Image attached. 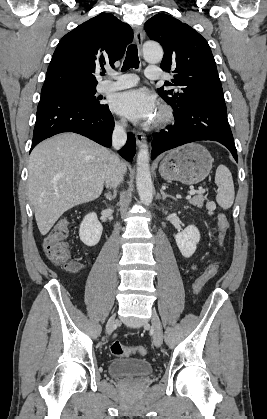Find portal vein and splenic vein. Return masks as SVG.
<instances>
[{
    "mask_svg": "<svg viewBox=\"0 0 267 419\" xmlns=\"http://www.w3.org/2000/svg\"><path fill=\"white\" fill-rule=\"evenodd\" d=\"M205 192V190L203 189V188H199V190H190L189 192H188V194L191 196V195H194V194H202V193H204Z\"/></svg>",
    "mask_w": 267,
    "mask_h": 419,
    "instance_id": "portal-vein-and-splenic-vein-1",
    "label": "portal vein and splenic vein"
}]
</instances>
